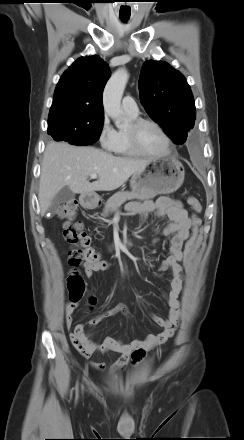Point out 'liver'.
Masks as SVG:
<instances>
[{"mask_svg":"<svg viewBox=\"0 0 244 440\" xmlns=\"http://www.w3.org/2000/svg\"><path fill=\"white\" fill-rule=\"evenodd\" d=\"M148 162V159L116 157L90 146L50 142L44 152L39 181L41 215L46 213L63 187L81 195L112 191L144 169ZM91 174H97L99 179L90 183Z\"/></svg>","mask_w":244,"mask_h":440,"instance_id":"obj_1","label":"liver"}]
</instances>
